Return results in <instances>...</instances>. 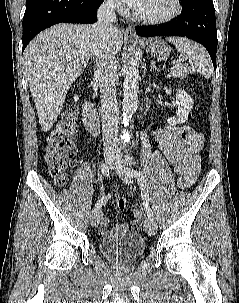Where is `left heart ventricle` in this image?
I'll return each instance as SVG.
<instances>
[{"instance_id":"left-heart-ventricle-1","label":"left heart ventricle","mask_w":239,"mask_h":303,"mask_svg":"<svg viewBox=\"0 0 239 303\" xmlns=\"http://www.w3.org/2000/svg\"><path fill=\"white\" fill-rule=\"evenodd\" d=\"M172 8V0H146L137 12L142 15L159 16L169 13Z\"/></svg>"}]
</instances>
